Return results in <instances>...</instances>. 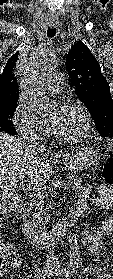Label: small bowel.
<instances>
[{
    "mask_svg": "<svg viewBox=\"0 0 113 279\" xmlns=\"http://www.w3.org/2000/svg\"><path fill=\"white\" fill-rule=\"evenodd\" d=\"M91 192V188L89 186L85 187L82 196L81 203L85 204L89 198ZM113 203V194L107 193L106 196H100L96 204L100 207L111 206ZM113 235V218L105 221L101 224L98 231L89 235L87 237V245L95 257H99L101 249L104 247L106 243V237ZM20 265L19 256L12 263L13 267H18ZM90 274L94 279H113V273H108L103 267H91Z\"/></svg>",
    "mask_w": 113,
    "mask_h": 279,
    "instance_id": "obj_1",
    "label": "small bowel"
}]
</instances>
